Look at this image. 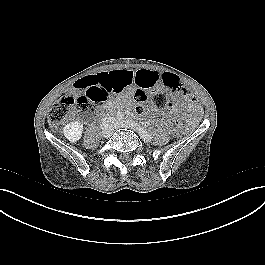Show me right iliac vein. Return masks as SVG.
Listing matches in <instances>:
<instances>
[{"instance_id":"right-iliac-vein-1","label":"right iliac vein","mask_w":265,"mask_h":265,"mask_svg":"<svg viewBox=\"0 0 265 265\" xmlns=\"http://www.w3.org/2000/svg\"><path fill=\"white\" fill-rule=\"evenodd\" d=\"M116 120L114 118H109L107 123L102 128V135L105 138H108L112 135L114 131Z\"/></svg>"}]
</instances>
